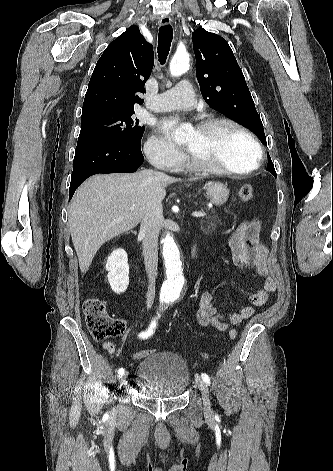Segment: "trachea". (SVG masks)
<instances>
[{
  "label": "trachea",
  "mask_w": 333,
  "mask_h": 471,
  "mask_svg": "<svg viewBox=\"0 0 333 471\" xmlns=\"http://www.w3.org/2000/svg\"><path fill=\"white\" fill-rule=\"evenodd\" d=\"M172 38L173 30L170 25H165L159 28L158 58L161 64H165V61L169 54Z\"/></svg>",
  "instance_id": "1"
}]
</instances>
